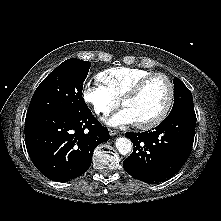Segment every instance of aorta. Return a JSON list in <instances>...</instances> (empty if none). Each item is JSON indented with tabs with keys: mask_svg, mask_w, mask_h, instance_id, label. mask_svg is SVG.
Instances as JSON below:
<instances>
[{
	"mask_svg": "<svg viewBox=\"0 0 221 221\" xmlns=\"http://www.w3.org/2000/svg\"><path fill=\"white\" fill-rule=\"evenodd\" d=\"M115 145L119 153L122 155H126L132 151V142L128 138H117Z\"/></svg>",
	"mask_w": 221,
	"mask_h": 221,
	"instance_id": "762f6f07",
	"label": "aorta"
}]
</instances>
